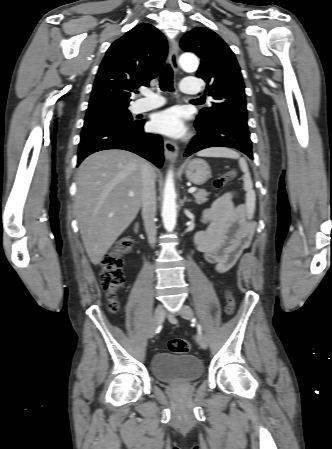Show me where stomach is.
<instances>
[{"label": "stomach", "instance_id": "0dacf381", "mask_svg": "<svg viewBox=\"0 0 332 449\" xmlns=\"http://www.w3.org/2000/svg\"><path fill=\"white\" fill-rule=\"evenodd\" d=\"M183 168L186 178L195 185H202L211 178V169L203 159L189 160L183 165Z\"/></svg>", "mask_w": 332, "mask_h": 449}]
</instances>
